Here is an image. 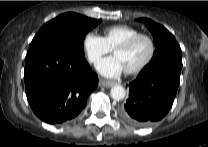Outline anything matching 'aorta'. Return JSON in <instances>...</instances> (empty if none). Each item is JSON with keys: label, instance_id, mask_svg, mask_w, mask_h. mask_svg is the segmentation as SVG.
<instances>
[{"label": "aorta", "instance_id": "aorta-1", "mask_svg": "<svg viewBox=\"0 0 208 147\" xmlns=\"http://www.w3.org/2000/svg\"><path fill=\"white\" fill-rule=\"evenodd\" d=\"M125 89L121 85H115L110 90V95L114 100H122L125 97Z\"/></svg>", "mask_w": 208, "mask_h": 147}]
</instances>
